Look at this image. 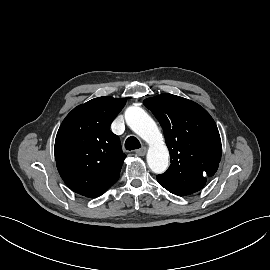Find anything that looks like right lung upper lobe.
I'll list each match as a JSON object with an SVG mask.
<instances>
[{
    "label": "right lung upper lobe",
    "mask_w": 270,
    "mask_h": 270,
    "mask_svg": "<svg viewBox=\"0 0 270 270\" xmlns=\"http://www.w3.org/2000/svg\"><path fill=\"white\" fill-rule=\"evenodd\" d=\"M125 102L94 98L63 120L55 139V159L60 176L74 192L95 198L118 180L126 155L109 128Z\"/></svg>",
    "instance_id": "1"
}]
</instances>
